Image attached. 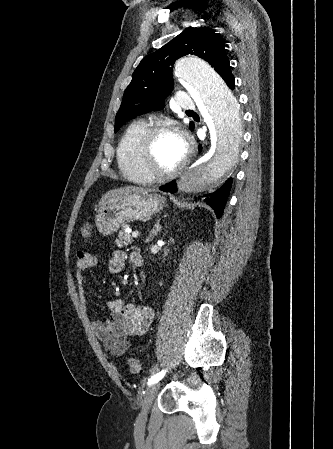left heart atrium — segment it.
<instances>
[{
	"label": "left heart atrium",
	"instance_id": "left-heart-atrium-1",
	"mask_svg": "<svg viewBox=\"0 0 333 449\" xmlns=\"http://www.w3.org/2000/svg\"><path fill=\"white\" fill-rule=\"evenodd\" d=\"M179 138H180V141H181V144H182L184 150L186 151V144H185L183 138L180 135H179Z\"/></svg>",
	"mask_w": 333,
	"mask_h": 449
}]
</instances>
